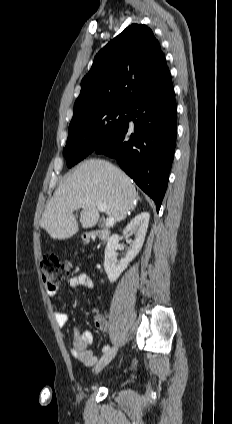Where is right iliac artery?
<instances>
[{
  "label": "right iliac artery",
  "instance_id": "obj_1",
  "mask_svg": "<svg viewBox=\"0 0 232 424\" xmlns=\"http://www.w3.org/2000/svg\"><path fill=\"white\" fill-rule=\"evenodd\" d=\"M109 349H110V346L109 345H106V346L103 347L102 352H106Z\"/></svg>",
  "mask_w": 232,
  "mask_h": 424
}]
</instances>
